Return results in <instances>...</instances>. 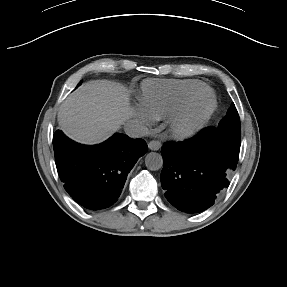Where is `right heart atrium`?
Instances as JSON below:
<instances>
[{
    "label": "right heart atrium",
    "mask_w": 287,
    "mask_h": 287,
    "mask_svg": "<svg viewBox=\"0 0 287 287\" xmlns=\"http://www.w3.org/2000/svg\"><path fill=\"white\" fill-rule=\"evenodd\" d=\"M136 115L140 120L147 124L153 119L142 107L137 109Z\"/></svg>",
    "instance_id": "d8ad5b80"
}]
</instances>
